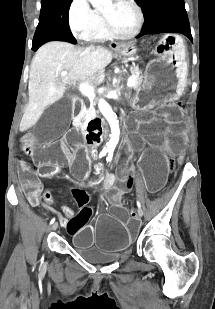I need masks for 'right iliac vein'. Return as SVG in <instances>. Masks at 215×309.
Here are the masks:
<instances>
[{
	"mask_svg": "<svg viewBox=\"0 0 215 309\" xmlns=\"http://www.w3.org/2000/svg\"><path fill=\"white\" fill-rule=\"evenodd\" d=\"M51 228H52L53 230H56V229L58 228V223L55 222V223L51 226Z\"/></svg>",
	"mask_w": 215,
	"mask_h": 309,
	"instance_id": "1",
	"label": "right iliac vein"
}]
</instances>
